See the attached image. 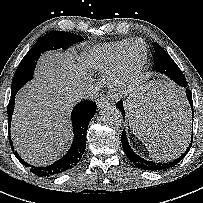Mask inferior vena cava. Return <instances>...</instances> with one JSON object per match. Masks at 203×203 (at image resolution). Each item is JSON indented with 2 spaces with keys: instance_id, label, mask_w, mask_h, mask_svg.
Here are the masks:
<instances>
[{
  "instance_id": "inferior-vena-cava-1",
  "label": "inferior vena cava",
  "mask_w": 203,
  "mask_h": 203,
  "mask_svg": "<svg viewBox=\"0 0 203 203\" xmlns=\"http://www.w3.org/2000/svg\"><path fill=\"white\" fill-rule=\"evenodd\" d=\"M92 95V89L88 85L81 84L73 93L75 100L87 99Z\"/></svg>"
}]
</instances>
